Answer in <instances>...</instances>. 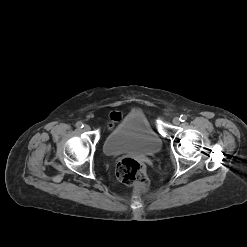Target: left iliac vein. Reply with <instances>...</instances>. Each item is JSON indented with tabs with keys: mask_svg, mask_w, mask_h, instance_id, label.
<instances>
[{
	"mask_svg": "<svg viewBox=\"0 0 247 247\" xmlns=\"http://www.w3.org/2000/svg\"><path fill=\"white\" fill-rule=\"evenodd\" d=\"M174 125H179L180 124V119L178 117L173 118L172 120Z\"/></svg>",
	"mask_w": 247,
	"mask_h": 247,
	"instance_id": "left-iliac-vein-1",
	"label": "left iliac vein"
}]
</instances>
